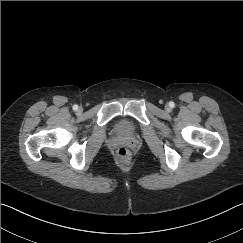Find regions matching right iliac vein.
Returning a JSON list of instances; mask_svg holds the SVG:
<instances>
[{"mask_svg":"<svg viewBox=\"0 0 243 243\" xmlns=\"http://www.w3.org/2000/svg\"><path fill=\"white\" fill-rule=\"evenodd\" d=\"M81 111H82V108H79V109H78V112L80 113Z\"/></svg>","mask_w":243,"mask_h":243,"instance_id":"right-iliac-vein-1","label":"right iliac vein"}]
</instances>
